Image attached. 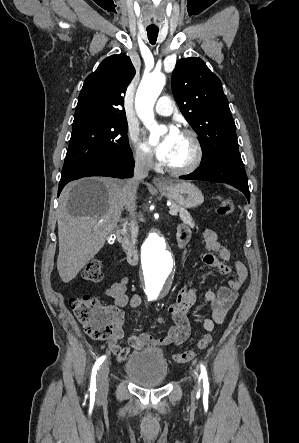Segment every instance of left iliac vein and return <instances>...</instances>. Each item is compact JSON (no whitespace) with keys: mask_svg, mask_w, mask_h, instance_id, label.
<instances>
[{"mask_svg":"<svg viewBox=\"0 0 299 443\" xmlns=\"http://www.w3.org/2000/svg\"><path fill=\"white\" fill-rule=\"evenodd\" d=\"M195 380H196V385H195V388H194V393L199 389V378H198V376H195Z\"/></svg>","mask_w":299,"mask_h":443,"instance_id":"obj_1","label":"left iliac vein"}]
</instances>
